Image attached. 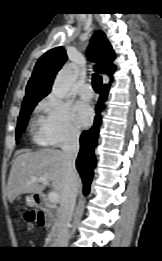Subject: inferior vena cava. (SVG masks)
I'll return each mask as SVG.
<instances>
[{"mask_svg": "<svg viewBox=\"0 0 162 261\" xmlns=\"http://www.w3.org/2000/svg\"><path fill=\"white\" fill-rule=\"evenodd\" d=\"M79 132L72 133L62 145L66 164V182L58 211L60 233L59 247H67L69 241V226L72 219L76 196L78 193L77 172L75 161L79 152Z\"/></svg>", "mask_w": 162, "mask_h": 261, "instance_id": "1", "label": "inferior vena cava"}]
</instances>
